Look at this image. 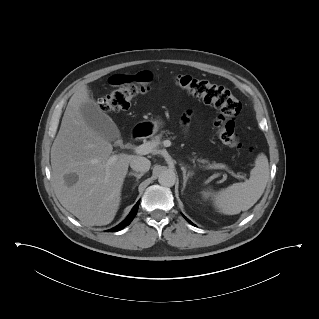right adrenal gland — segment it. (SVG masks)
I'll use <instances>...</instances> for the list:
<instances>
[{"label": "right adrenal gland", "instance_id": "2a0ac1e0", "mask_svg": "<svg viewBox=\"0 0 319 319\" xmlns=\"http://www.w3.org/2000/svg\"><path fill=\"white\" fill-rule=\"evenodd\" d=\"M128 175L135 176L136 180L138 181L144 174L143 173H137V172H130Z\"/></svg>", "mask_w": 319, "mask_h": 319}]
</instances>
